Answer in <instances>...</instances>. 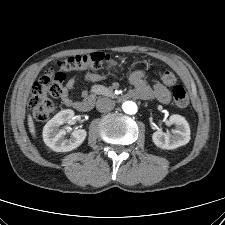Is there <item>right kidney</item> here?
Instances as JSON below:
<instances>
[{
	"label": "right kidney",
	"mask_w": 225,
	"mask_h": 225,
	"mask_svg": "<svg viewBox=\"0 0 225 225\" xmlns=\"http://www.w3.org/2000/svg\"><path fill=\"white\" fill-rule=\"evenodd\" d=\"M74 117V111L62 110L49 120L43 128L44 143L56 152H69L79 147L87 136L84 129L74 130L69 139H65V129H60L64 123H70Z\"/></svg>",
	"instance_id": "right-kidney-1"
}]
</instances>
